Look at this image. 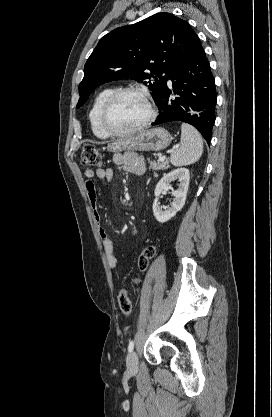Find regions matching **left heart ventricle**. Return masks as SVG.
<instances>
[{"mask_svg":"<svg viewBox=\"0 0 272 417\" xmlns=\"http://www.w3.org/2000/svg\"><path fill=\"white\" fill-rule=\"evenodd\" d=\"M148 114V107L142 97L125 94L112 105L107 122L115 131H127L143 123Z\"/></svg>","mask_w":272,"mask_h":417,"instance_id":"b2bd125f","label":"left heart ventricle"}]
</instances>
